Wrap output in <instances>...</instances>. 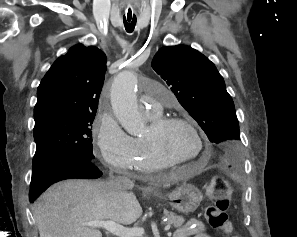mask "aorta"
Here are the masks:
<instances>
[{
  "label": "aorta",
  "instance_id": "aorta-1",
  "mask_svg": "<svg viewBox=\"0 0 297 237\" xmlns=\"http://www.w3.org/2000/svg\"><path fill=\"white\" fill-rule=\"evenodd\" d=\"M137 77L132 71H124L116 76L111 87V104L113 112L130 135L142 132L144 119L140 115L135 95Z\"/></svg>",
  "mask_w": 297,
  "mask_h": 237
}]
</instances>
